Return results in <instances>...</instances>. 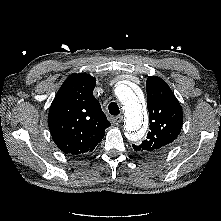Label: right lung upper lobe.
Segmentation results:
<instances>
[{
  "instance_id": "1",
  "label": "right lung upper lobe",
  "mask_w": 221,
  "mask_h": 221,
  "mask_svg": "<svg viewBox=\"0 0 221 221\" xmlns=\"http://www.w3.org/2000/svg\"><path fill=\"white\" fill-rule=\"evenodd\" d=\"M96 80L89 74L69 76L58 90L49 110L48 125L58 148L65 154L93 151L110 126L93 97Z\"/></svg>"
}]
</instances>
